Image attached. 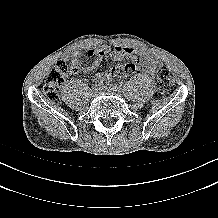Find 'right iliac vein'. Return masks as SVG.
Wrapping results in <instances>:
<instances>
[{
  "instance_id": "1",
  "label": "right iliac vein",
  "mask_w": 218,
  "mask_h": 218,
  "mask_svg": "<svg viewBox=\"0 0 218 218\" xmlns=\"http://www.w3.org/2000/svg\"><path fill=\"white\" fill-rule=\"evenodd\" d=\"M101 90V86L92 87V95H97Z\"/></svg>"
}]
</instances>
